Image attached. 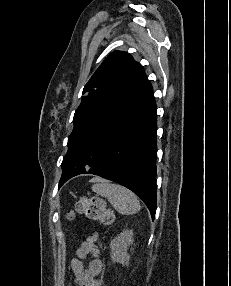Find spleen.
<instances>
[{
    "label": "spleen",
    "mask_w": 231,
    "mask_h": 286,
    "mask_svg": "<svg viewBox=\"0 0 231 286\" xmlns=\"http://www.w3.org/2000/svg\"><path fill=\"white\" fill-rule=\"evenodd\" d=\"M92 191L106 197L111 205L122 215H131L140 211V202L137 196L129 189L105 180H98Z\"/></svg>",
    "instance_id": "3e777b00"
}]
</instances>
